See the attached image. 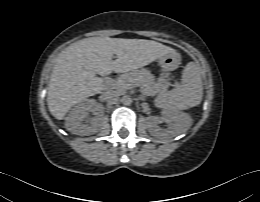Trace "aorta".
Listing matches in <instances>:
<instances>
[{
  "label": "aorta",
  "instance_id": "1",
  "mask_svg": "<svg viewBox=\"0 0 260 202\" xmlns=\"http://www.w3.org/2000/svg\"><path fill=\"white\" fill-rule=\"evenodd\" d=\"M122 104L130 105L132 103V98L129 95H125L121 99Z\"/></svg>",
  "mask_w": 260,
  "mask_h": 202
}]
</instances>
